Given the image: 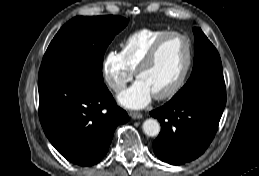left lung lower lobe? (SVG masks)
<instances>
[{"mask_svg": "<svg viewBox=\"0 0 259 176\" xmlns=\"http://www.w3.org/2000/svg\"><path fill=\"white\" fill-rule=\"evenodd\" d=\"M225 105V89L207 86L173 97L151 111L161 123L153 142L156 156L172 165L198 158L213 140Z\"/></svg>", "mask_w": 259, "mask_h": 176, "instance_id": "obj_1", "label": "left lung lower lobe"}]
</instances>
